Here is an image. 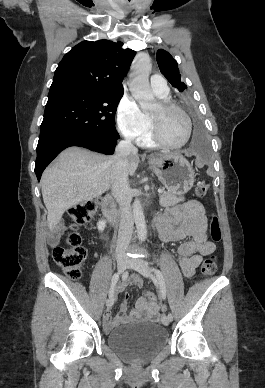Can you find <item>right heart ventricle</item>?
Listing matches in <instances>:
<instances>
[{
  "label": "right heart ventricle",
  "instance_id": "obj_1",
  "mask_svg": "<svg viewBox=\"0 0 265 388\" xmlns=\"http://www.w3.org/2000/svg\"><path fill=\"white\" fill-rule=\"evenodd\" d=\"M155 97L160 98L163 102L169 101L168 98V92L167 91H156ZM140 144L144 147H154L156 146V142L153 138V134L151 131H148V133L140 139Z\"/></svg>",
  "mask_w": 265,
  "mask_h": 388
}]
</instances>
